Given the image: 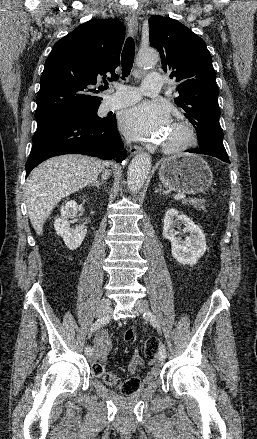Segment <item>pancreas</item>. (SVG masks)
<instances>
[{"instance_id": "cf45deb5", "label": "pancreas", "mask_w": 257, "mask_h": 439, "mask_svg": "<svg viewBox=\"0 0 257 439\" xmlns=\"http://www.w3.org/2000/svg\"><path fill=\"white\" fill-rule=\"evenodd\" d=\"M183 204L194 205L199 210L202 209L203 211H206L205 210L204 201L199 199V198H192V199H189V200L185 199V200H183Z\"/></svg>"}]
</instances>
